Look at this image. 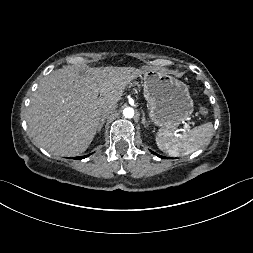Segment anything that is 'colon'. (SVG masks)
<instances>
[{
  "label": "colon",
  "mask_w": 253,
  "mask_h": 253,
  "mask_svg": "<svg viewBox=\"0 0 253 253\" xmlns=\"http://www.w3.org/2000/svg\"><path fill=\"white\" fill-rule=\"evenodd\" d=\"M193 94L195 95V94H196V91H194ZM200 110H201L202 113H204V114L206 113V109H205V108L200 107Z\"/></svg>",
  "instance_id": "1"
}]
</instances>
